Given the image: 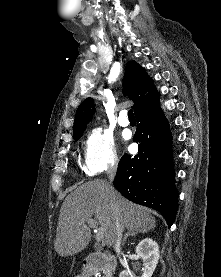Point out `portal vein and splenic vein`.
<instances>
[{"mask_svg": "<svg viewBox=\"0 0 221 277\" xmlns=\"http://www.w3.org/2000/svg\"><path fill=\"white\" fill-rule=\"evenodd\" d=\"M86 222H87L91 227H93V228H96V227H97V222H96L95 220H93V219H88ZM103 239H104V231L101 230V229H99V230L97 231V233H96V240H97L98 242H100V241H102Z\"/></svg>", "mask_w": 221, "mask_h": 277, "instance_id": "portal-vein-and-splenic-vein-1", "label": "portal vein and splenic vein"}]
</instances>
